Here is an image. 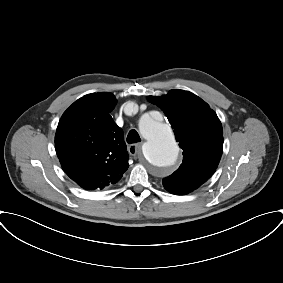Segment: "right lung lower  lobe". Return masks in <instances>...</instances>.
<instances>
[{
  "label": "right lung lower lobe",
  "mask_w": 283,
  "mask_h": 283,
  "mask_svg": "<svg viewBox=\"0 0 283 283\" xmlns=\"http://www.w3.org/2000/svg\"><path fill=\"white\" fill-rule=\"evenodd\" d=\"M62 165H63V166H62V167H63V170L66 169V164H62Z\"/></svg>",
  "instance_id": "obj_1"
}]
</instances>
